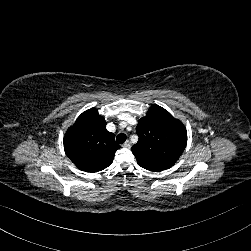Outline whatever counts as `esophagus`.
Instances as JSON below:
<instances>
[{
    "instance_id": "obj_1",
    "label": "esophagus",
    "mask_w": 251,
    "mask_h": 251,
    "mask_svg": "<svg viewBox=\"0 0 251 251\" xmlns=\"http://www.w3.org/2000/svg\"><path fill=\"white\" fill-rule=\"evenodd\" d=\"M123 147L125 148H130L131 147V143L127 140L124 144Z\"/></svg>"
}]
</instances>
